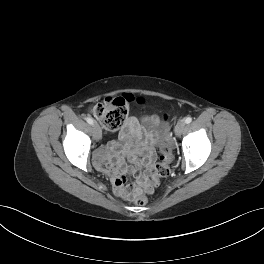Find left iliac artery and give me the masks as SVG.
I'll return each mask as SVG.
<instances>
[{
    "instance_id": "44dca946",
    "label": "left iliac artery",
    "mask_w": 264,
    "mask_h": 264,
    "mask_svg": "<svg viewBox=\"0 0 264 264\" xmlns=\"http://www.w3.org/2000/svg\"><path fill=\"white\" fill-rule=\"evenodd\" d=\"M191 121H192V118L191 117H186L185 120H184V122L186 124H189Z\"/></svg>"
}]
</instances>
